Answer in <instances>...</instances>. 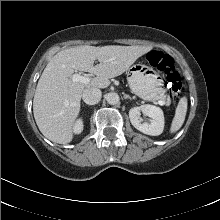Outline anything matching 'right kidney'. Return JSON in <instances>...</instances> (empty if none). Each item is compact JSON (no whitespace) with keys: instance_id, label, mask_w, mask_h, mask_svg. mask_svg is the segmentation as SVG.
<instances>
[{"instance_id":"ca27d5eb","label":"right kidney","mask_w":220,"mask_h":220,"mask_svg":"<svg viewBox=\"0 0 220 220\" xmlns=\"http://www.w3.org/2000/svg\"><path fill=\"white\" fill-rule=\"evenodd\" d=\"M73 130H74V133H76V134H79V133L82 132V130H83V122H82L81 119L76 121Z\"/></svg>"}]
</instances>
